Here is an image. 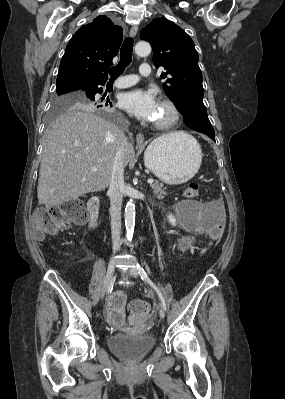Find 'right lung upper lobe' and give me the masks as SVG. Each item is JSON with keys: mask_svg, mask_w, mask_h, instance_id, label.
Masks as SVG:
<instances>
[{"mask_svg": "<svg viewBox=\"0 0 285 399\" xmlns=\"http://www.w3.org/2000/svg\"><path fill=\"white\" fill-rule=\"evenodd\" d=\"M122 39V28L104 15L82 26L66 47L56 89H80L90 81L106 80Z\"/></svg>", "mask_w": 285, "mask_h": 399, "instance_id": "cb5924a9", "label": "right lung upper lobe"}]
</instances>
